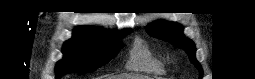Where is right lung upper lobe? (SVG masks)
Segmentation results:
<instances>
[{
    "label": "right lung upper lobe",
    "mask_w": 255,
    "mask_h": 79,
    "mask_svg": "<svg viewBox=\"0 0 255 79\" xmlns=\"http://www.w3.org/2000/svg\"><path fill=\"white\" fill-rule=\"evenodd\" d=\"M76 35H84V36H93V37H102L108 39H117L120 32L113 33V32H106L104 30H100L91 26H81L76 28L75 30Z\"/></svg>",
    "instance_id": "1"
}]
</instances>
